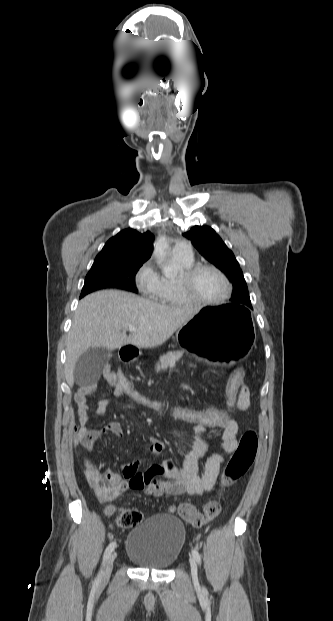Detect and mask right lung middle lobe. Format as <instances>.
Instances as JSON below:
<instances>
[{
    "mask_svg": "<svg viewBox=\"0 0 333 621\" xmlns=\"http://www.w3.org/2000/svg\"><path fill=\"white\" fill-rule=\"evenodd\" d=\"M143 263L135 261L94 262L86 276L80 298L95 290L109 287L138 293L134 285V275Z\"/></svg>",
    "mask_w": 333,
    "mask_h": 621,
    "instance_id": "right-lung-middle-lobe-1",
    "label": "right lung middle lobe"
}]
</instances>
